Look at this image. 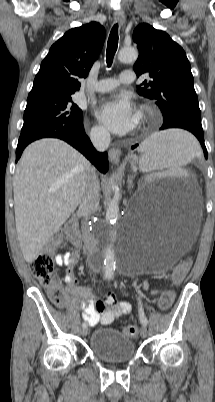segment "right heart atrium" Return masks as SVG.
Returning a JSON list of instances; mask_svg holds the SVG:
<instances>
[{"label": "right heart atrium", "instance_id": "1", "mask_svg": "<svg viewBox=\"0 0 215 402\" xmlns=\"http://www.w3.org/2000/svg\"><path fill=\"white\" fill-rule=\"evenodd\" d=\"M91 137L96 142H104L108 139L109 134L102 125L95 124L91 129Z\"/></svg>", "mask_w": 215, "mask_h": 402}]
</instances>
